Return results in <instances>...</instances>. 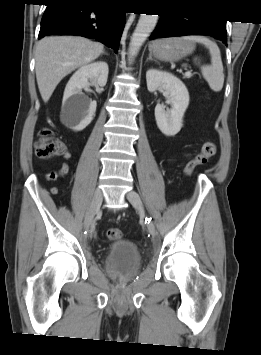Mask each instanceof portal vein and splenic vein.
<instances>
[{"label":"portal vein and splenic vein","mask_w":261,"mask_h":355,"mask_svg":"<svg viewBox=\"0 0 261 355\" xmlns=\"http://www.w3.org/2000/svg\"><path fill=\"white\" fill-rule=\"evenodd\" d=\"M186 77H191L192 76V73H191V71H187V72H185V74H184Z\"/></svg>","instance_id":"18ae733b"}]
</instances>
